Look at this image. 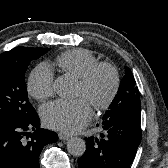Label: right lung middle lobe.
Wrapping results in <instances>:
<instances>
[{
    "mask_svg": "<svg viewBox=\"0 0 168 168\" xmlns=\"http://www.w3.org/2000/svg\"><path fill=\"white\" fill-rule=\"evenodd\" d=\"M49 48L16 47L0 55V119L28 120L37 115L28 101L25 72Z\"/></svg>",
    "mask_w": 168,
    "mask_h": 168,
    "instance_id": "right-lung-middle-lobe-1",
    "label": "right lung middle lobe"
}]
</instances>
